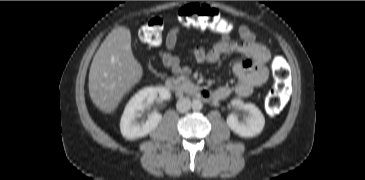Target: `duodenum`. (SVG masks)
Wrapping results in <instances>:
<instances>
[{
  "instance_id": "duodenum-1",
  "label": "duodenum",
  "mask_w": 365,
  "mask_h": 180,
  "mask_svg": "<svg viewBox=\"0 0 365 180\" xmlns=\"http://www.w3.org/2000/svg\"><path fill=\"white\" fill-rule=\"evenodd\" d=\"M165 86L167 89L175 91L178 94L189 92L203 101H208L213 98L212 92L208 89L191 83L182 82L179 79H169L166 81Z\"/></svg>"
}]
</instances>
